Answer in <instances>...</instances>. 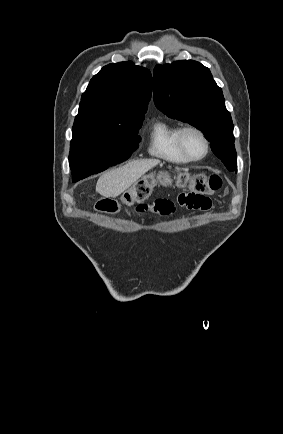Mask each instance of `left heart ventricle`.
Instances as JSON below:
<instances>
[{
  "instance_id": "1",
  "label": "left heart ventricle",
  "mask_w": 283,
  "mask_h": 434,
  "mask_svg": "<svg viewBox=\"0 0 283 434\" xmlns=\"http://www.w3.org/2000/svg\"><path fill=\"white\" fill-rule=\"evenodd\" d=\"M184 143L188 152L193 156H200L203 154L205 146L201 137L195 132H188L185 134Z\"/></svg>"
}]
</instances>
